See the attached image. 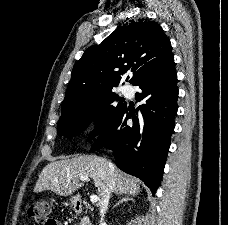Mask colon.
<instances>
[{"instance_id":"5ec220e1","label":"colon","mask_w":228,"mask_h":225,"mask_svg":"<svg viewBox=\"0 0 228 225\" xmlns=\"http://www.w3.org/2000/svg\"><path fill=\"white\" fill-rule=\"evenodd\" d=\"M50 203L46 200H33L28 205V214L38 225H57L50 218Z\"/></svg>"}]
</instances>
